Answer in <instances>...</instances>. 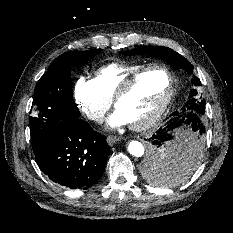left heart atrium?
Listing matches in <instances>:
<instances>
[{"mask_svg":"<svg viewBox=\"0 0 233 233\" xmlns=\"http://www.w3.org/2000/svg\"><path fill=\"white\" fill-rule=\"evenodd\" d=\"M128 123L124 115L118 110L107 121V125L110 128H117Z\"/></svg>","mask_w":233,"mask_h":233,"instance_id":"39dd6f15","label":"left heart atrium"}]
</instances>
